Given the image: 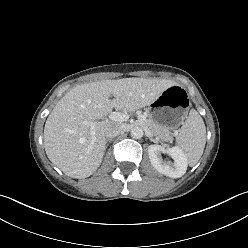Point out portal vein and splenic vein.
<instances>
[{
	"label": "portal vein and splenic vein",
	"instance_id": "obj_1",
	"mask_svg": "<svg viewBox=\"0 0 248 248\" xmlns=\"http://www.w3.org/2000/svg\"><path fill=\"white\" fill-rule=\"evenodd\" d=\"M109 118L113 121H119V122H123V121H127L128 118H129V115L127 114H124V113H120V112H112L110 113L109 115ZM138 119L140 121H144L146 120V117L144 115H139L138 116ZM84 123L86 125H89L90 126V130H91V134H92V143H94L95 141V128L98 124H100V122H97V121H84Z\"/></svg>",
	"mask_w": 248,
	"mask_h": 248
}]
</instances>
